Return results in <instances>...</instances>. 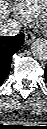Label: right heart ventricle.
Here are the masks:
<instances>
[{
  "label": "right heart ventricle",
  "instance_id": "right-heart-ventricle-1",
  "mask_svg": "<svg viewBox=\"0 0 47 129\" xmlns=\"http://www.w3.org/2000/svg\"><path fill=\"white\" fill-rule=\"evenodd\" d=\"M18 5L28 14L34 17L42 13L46 7L47 0H17Z\"/></svg>",
  "mask_w": 47,
  "mask_h": 129
}]
</instances>
